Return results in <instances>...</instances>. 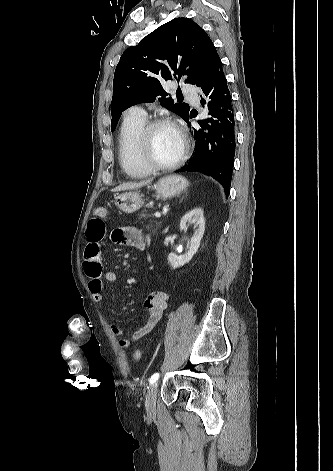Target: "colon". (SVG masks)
<instances>
[{"label":"colon","mask_w":333,"mask_h":471,"mask_svg":"<svg viewBox=\"0 0 333 471\" xmlns=\"http://www.w3.org/2000/svg\"><path fill=\"white\" fill-rule=\"evenodd\" d=\"M107 213V210L105 207H97L95 210H94V215L97 216V217H104ZM134 358L136 360H140L142 358V350L140 349H136L135 352H134Z\"/></svg>","instance_id":"1"}]
</instances>
